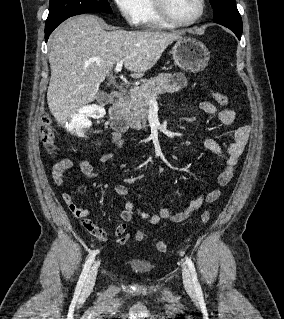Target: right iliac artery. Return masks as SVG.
<instances>
[{
    "instance_id": "obj_1",
    "label": "right iliac artery",
    "mask_w": 284,
    "mask_h": 319,
    "mask_svg": "<svg viewBox=\"0 0 284 319\" xmlns=\"http://www.w3.org/2000/svg\"><path fill=\"white\" fill-rule=\"evenodd\" d=\"M98 252H99L98 250L93 251V252L90 254L89 258L87 259V261H86V263H85V265H84V268H83V270H82V273H81V275H80V277H79V280H78L76 289H75V293H76V294H80V292H81V290H82V287H83V285H84L85 279H86V277H87V274H88V272H89V269H90V267H91V265H92V263H93V261H94V259H95V256H96V254H97Z\"/></svg>"
}]
</instances>
